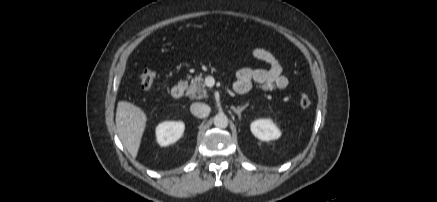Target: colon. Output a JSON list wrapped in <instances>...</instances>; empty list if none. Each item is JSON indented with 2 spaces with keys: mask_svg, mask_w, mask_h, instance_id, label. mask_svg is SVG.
<instances>
[{
  "mask_svg": "<svg viewBox=\"0 0 437 202\" xmlns=\"http://www.w3.org/2000/svg\"><path fill=\"white\" fill-rule=\"evenodd\" d=\"M156 78L157 74L153 69L144 67L139 76L141 87L143 89H150L154 85ZM298 104L301 108L306 109L311 105V99L308 95L301 94L298 99Z\"/></svg>",
  "mask_w": 437,
  "mask_h": 202,
  "instance_id": "1",
  "label": "colon"
}]
</instances>
